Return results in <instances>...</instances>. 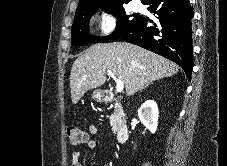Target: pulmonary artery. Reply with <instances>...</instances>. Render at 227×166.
<instances>
[{"instance_id": "1", "label": "pulmonary artery", "mask_w": 227, "mask_h": 166, "mask_svg": "<svg viewBox=\"0 0 227 166\" xmlns=\"http://www.w3.org/2000/svg\"><path fill=\"white\" fill-rule=\"evenodd\" d=\"M133 9H134L135 11H141V10L143 9V6H142L140 3H135V4L133 5Z\"/></svg>"}]
</instances>
